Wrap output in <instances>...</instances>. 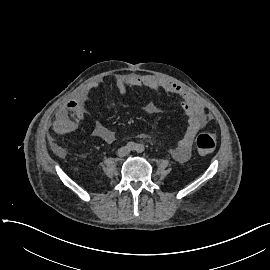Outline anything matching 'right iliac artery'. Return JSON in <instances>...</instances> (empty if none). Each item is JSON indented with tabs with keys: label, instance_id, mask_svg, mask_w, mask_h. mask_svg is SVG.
<instances>
[{
	"label": "right iliac artery",
	"instance_id": "obj_1",
	"mask_svg": "<svg viewBox=\"0 0 270 270\" xmlns=\"http://www.w3.org/2000/svg\"><path fill=\"white\" fill-rule=\"evenodd\" d=\"M127 148L129 150H134V149H136V144L134 142H128L127 143Z\"/></svg>",
	"mask_w": 270,
	"mask_h": 270
}]
</instances>
